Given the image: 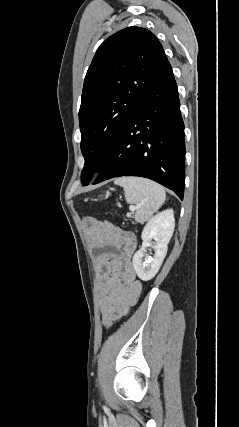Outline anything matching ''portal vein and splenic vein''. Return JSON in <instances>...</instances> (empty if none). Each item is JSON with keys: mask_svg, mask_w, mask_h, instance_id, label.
<instances>
[{"mask_svg": "<svg viewBox=\"0 0 239 427\" xmlns=\"http://www.w3.org/2000/svg\"><path fill=\"white\" fill-rule=\"evenodd\" d=\"M138 208V206H130V211H135Z\"/></svg>", "mask_w": 239, "mask_h": 427, "instance_id": "1", "label": "portal vein and splenic vein"}]
</instances>
